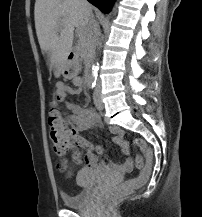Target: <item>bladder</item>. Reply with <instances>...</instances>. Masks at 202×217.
<instances>
[{
	"label": "bladder",
	"mask_w": 202,
	"mask_h": 217,
	"mask_svg": "<svg viewBox=\"0 0 202 217\" xmlns=\"http://www.w3.org/2000/svg\"><path fill=\"white\" fill-rule=\"evenodd\" d=\"M100 172L91 168H82L76 176V183L80 190L75 195H62L61 199L66 207H83L92 196V188L98 182Z\"/></svg>",
	"instance_id": "bladder-1"
}]
</instances>
